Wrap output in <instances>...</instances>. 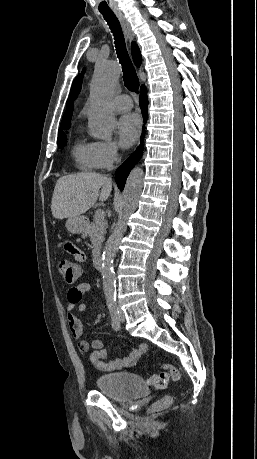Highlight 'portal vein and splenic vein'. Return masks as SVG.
Returning a JSON list of instances; mask_svg holds the SVG:
<instances>
[{
	"label": "portal vein and splenic vein",
	"mask_w": 257,
	"mask_h": 459,
	"mask_svg": "<svg viewBox=\"0 0 257 459\" xmlns=\"http://www.w3.org/2000/svg\"><path fill=\"white\" fill-rule=\"evenodd\" d=\"M95 218H96L97 220H104V218H105V212H104L103 210H97V211L95 212Z\"/></svg>",
	"instance_id": "obj_1"
}]
</instances>
